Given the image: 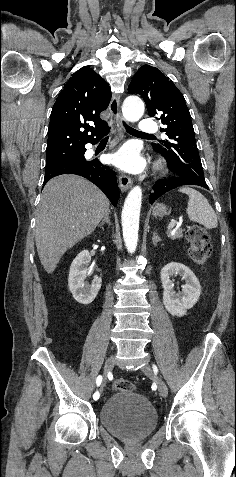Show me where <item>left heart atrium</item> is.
Listing matches in <instances>:
<instances>
[{
	"label": "left heart atrium",
	"instance_id": "obj_1",
	"mask_svg": "<svg viewBox=\"0 0 236 477\" xmlns=\"http://www.w3.org/2000/svg\"><path fill=\"white\" fill-rule=\"evenodd\" d=\"M109 160L121 170L137 173L145 165L143 157L133 145H125L109 157Z\"/></svg>",
	"mask_w": 236,
	"mask_h": 477
}]
</instances>
